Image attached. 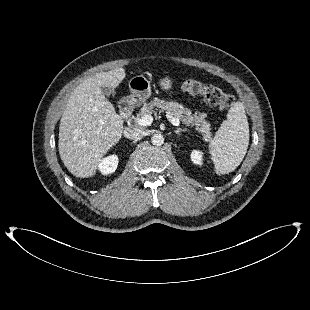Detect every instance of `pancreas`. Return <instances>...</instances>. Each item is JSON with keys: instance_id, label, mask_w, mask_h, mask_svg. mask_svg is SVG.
<instances>
[{"instance_id": "1", "label": "pancreas", "mask_w": 310, "mask_h": 310, "mask_svg": "<svg viewBox=\"0 0 310 310\" xmlns=\"http://www.w3.org/2000/svg\"><path fill=\"white\" fill-rule=\"evenodd\" d=\"M156 107L160 112H166L168 116L179 119L186 126H196V129L203 135L205 141L211 138L210 123L206 121V113L195 112L194 114L188 108L177 102L165 101L155 98L150 103H145L134 121L138 124V120L146 114H152L153 108Z\"/></svg>"}]
</instances>
